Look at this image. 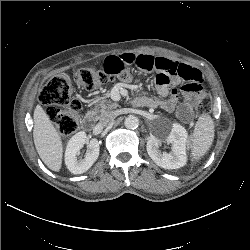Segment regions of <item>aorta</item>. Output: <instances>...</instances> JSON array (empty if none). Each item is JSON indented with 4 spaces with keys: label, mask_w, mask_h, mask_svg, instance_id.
<instances>
[{
    "label": "aorta",
    "mask_w": 250,
    "mask_h": 250,
    "mask_svg": "<svg viewBox=\"0 0 250 250\" xmlns=\"http://www.w3.org/2000/svg\"><path fill=\"white\" fill-rule=\"evenodd\" d=\"M124 125L128 129H136L139 126V119L134 115H129L125 118Z\"/></svg>",
    "instance_id": "762f6f07"
}]
</instances>
